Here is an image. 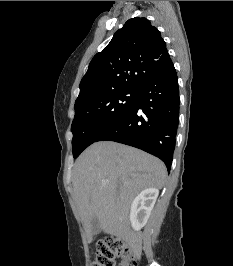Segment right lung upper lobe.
Listing matches in <instances>:
<instances>
[{"mask_svg":"<svg viewBox=\"0 0 233 266\" xmlns=\"http://www.w3.org/2000/svg\"><path fill=\"white\" fill-rule=\"evenodd\" d=\"M171 63L158 29L146 18L129 19L91 60L75 103L100 92L139 89Z\"/></svg>","mask_w":233,"mask_h":266,"instance_id":"right-lung-upper-lobe-1","label":"right lung upper lobe"}]
</instances>
